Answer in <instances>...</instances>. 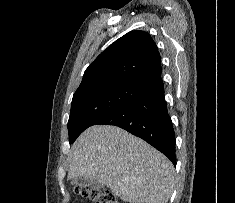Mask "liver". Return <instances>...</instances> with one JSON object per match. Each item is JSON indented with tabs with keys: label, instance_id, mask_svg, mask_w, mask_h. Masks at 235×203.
I'll use <instances>...</instances> for the list:
<instances>
[{
	"label": "liver",
	"instance_id": "6515ba94",
	"mask_svg": "<svg viewBox=\"0 0 235 203\" xmlns=\"http://www.w3.org/2000/svg\"><path fill=\"white\" fill-rule=\"evenodd\" d=\"M68 179L88 178L106 185L129 203H167L174 166L144 140L108 125L86 129L69 154Z\"/></svg>",
	"mask_w": 235,
	"mask_h": 203
}]
</instances>
